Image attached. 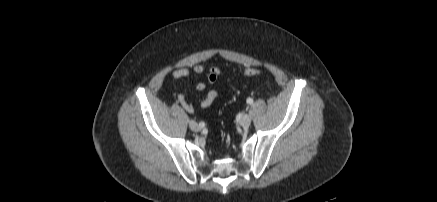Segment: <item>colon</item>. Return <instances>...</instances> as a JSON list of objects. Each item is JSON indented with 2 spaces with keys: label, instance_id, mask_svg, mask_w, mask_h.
<instances>
[{
  "label": "colon",
  "instance_id": "5ec220e1",
  "mask_svg": "<svg viewBox=\"0 0 437 202\" xmlns=\"http://www.w3.org/2000/svg\"><path fill=\"white\" fill-rule=\"evenodd\" d=\"M261 74V71L257 68H247L242 71V75L247 77H256Z\"/></svg>",
  "mask_w": 437,
  "mask_h": 202
}]
</instances>
